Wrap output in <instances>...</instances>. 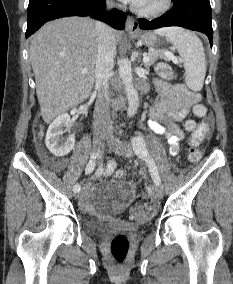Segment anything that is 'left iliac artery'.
<instances>
[{"label":"left iliac artery","instance_id":"left-iliac-artery-1","mask_svg":"<svg viewBox=\"0 0 233 284\" xmlns=\"http://www.w3.org/2000/svg\"><path fill=\"white\" fill-rule=\"evenodd\" d=\"M132 146H133L135 153L139 157L143 158L146 161V163L148 164L149 171L151 173V177H152L154 183L156 185H160L161 180H160V176H159L158 171H157V167L154 163L153 158L151 157V155L149 154V152L147 150L146 143H145V140L143 139V137L135 136L132 139Z\"/></svg>","mask_w":233,"mask_h":284}]
</instances>
